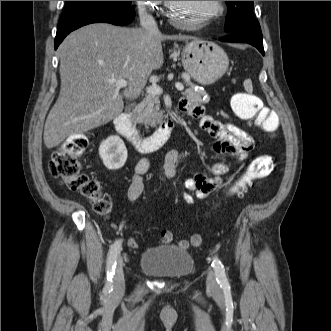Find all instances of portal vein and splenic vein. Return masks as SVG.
<instances>
[{
    "label": "portal vein and splenic vein",
    "mask_w": 331,
    "mask_h": 331,
    "mask_svg": "<svg viewBox=\"0 0 331 331\" xmlns=\"http://www.w3.org/2000/svg\"><path fill=\"white\" fill-rule=\"evenodd\" d=\"M111 82L115 83V86L117 89L124 88L127 86V81L125 79H117V80H113ZM175 87L179 91L184 90L183 84H181L179 82L175 83ZM147 92L150 94L158 95V94H162L163 90L160 86H158L156 84H152L150 87L147 88Z\"/></svg>",
    "instance_id": "portal-vein-and-splenic-vein-1"
}]
</instances>
